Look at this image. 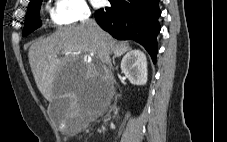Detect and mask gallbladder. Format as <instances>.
<instances>
[{"label": "gallbladder", "mask_w": 227, "mask_h": 142, "mask_svg": "<svg viewBox=\"0 0 227 142\" xmlns=\"http://www.w3.org/2000/svg\"><path fill=\"white\" fill-rule=\"evenodd\" d=\"M71 108L72 105L69 104V98H57L48 107L49 116L53 121L60 124L67 117V112Z\"/></svg>", "instance_id": "obj_1"}]
</instances>
